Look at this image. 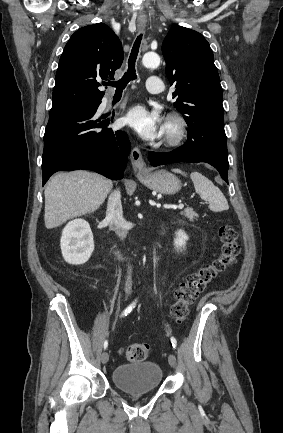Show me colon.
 I'll list each match as a JSON object with an SVG mask.
<instances>
[{
  "label": "colon",
  "mask_w": 283,
  "mask_h": 433,
  "mask_svg": "<svg viewBox=\"0 0 283 433\" xmlns=\"http://www.w3.org/2000/svg\"><path fill=\"white\" fill-rule=\"evenodd\" d=\"M221 250L218 257L190 274L175 292V302L171 307L173 318L182 323L189 314V307L204 288L223 273L236 259L240 251L238 233L228 224L218 229ZM125 357L129 361H143L150 354L147 343H134L124 348Z\"/></svg>",
  "instance_id": "1"
}]
</instances>
